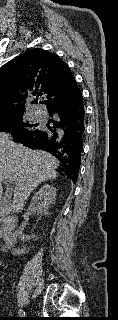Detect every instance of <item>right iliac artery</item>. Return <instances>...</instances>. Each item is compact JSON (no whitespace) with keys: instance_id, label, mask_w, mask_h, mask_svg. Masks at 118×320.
Masks as SVG:
<instances>
[{"instance_id":"right-iliac-artery-1","label":"right iliac artery","mask_w":118,"mask_h":320,"mask_svg":"<svg viewBox=\"0 0 118 320\" xmlns=\"http://www.w3.org/2000/svg\"><path fill=\"white\" fill-rule=\"evenodd\" d=\"M18 314H19L20 316H25V312L22 311V310H20V311L18 312Z\"/></svg>"}]
</instances>
